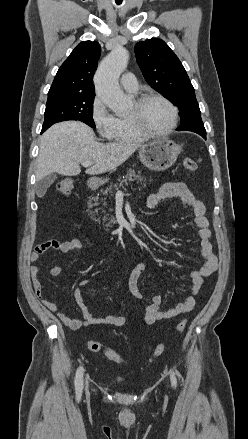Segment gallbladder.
Segmentation results:
<instances>
[{"instance_id":"obj_1","label":"gallbladder","mask_w":248,"mask_h":439,"mask_svg":"<svg viewBox=\"0 0 248 439\" xmlns=\"http://www.w3.org/2000/svg\"><path fill=\"white\" fill-rule=\"evenodd\" d=\"M57 179L56 174L52 173L44 177L42 180L37 181L36 183V194L38 197H43L47 191V189L51 186V184Z\"/></svg>"}]
</instances>
